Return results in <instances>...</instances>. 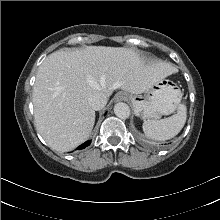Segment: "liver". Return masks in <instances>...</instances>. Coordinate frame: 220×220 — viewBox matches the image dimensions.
<instances>
[{
  "label": "liver",
  "mask_w": 220,
  "mask_h": 220,
  "mask_svg": "<svg viewBox=\"0 0 220 220\" xmlns=\"http://www.w3.org/2000/svg\"><path fill=\"white\" fill-rule=\"evenodd\" d=\"M172 73L170 64L146 61L131 48L55 51L40 65L33 87L37 131L51 148L70 151L86 141L93 129L91 95L109 97L118 88L139 94Z\"/></svg>",
  "instance_id": "6515ba94"
}]
</instances>
